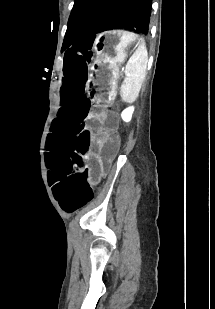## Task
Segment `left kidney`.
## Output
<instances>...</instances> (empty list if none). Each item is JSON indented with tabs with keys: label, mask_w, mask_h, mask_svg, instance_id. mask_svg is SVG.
I'll return each mask as SVG.
<instances>
[{
	"label": "left kidney",
	"mask_w": 215,
	"mask_h": 309,
	"mask_svg": "<svg viewBox=\"0 0 215 309\" xmlns=\"http://www.w3.org/2000/svg\"><path fill=\"white\" fill-rule=\"evenodd\" d=\"M134 112V106H128V108H124L121 112V118L125 120V122H129L132 118V114Z\"/></svg>",
	"instance_id": "5707ae66"
}]
</instances>
